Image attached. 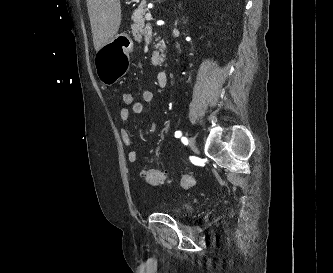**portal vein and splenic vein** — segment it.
Returning <instances> with one entry per match:
<instances>
[{
	"mask_svg": "<svg viewBox=\"0 0 333 273\" xmlns=\"http://www.w3.org/2000/svg\"><path fill=\"white\" fill-rule=\"evenodd\" d=\"M146 20L149 21L151 20L152 16L150 13H147L146 16H145Z\"/></svg>",
	"mask_w": 333,
	"mask_h": 273,
	"instance_id": "1",
	"label": "portal vein and splenic vein"
}]
</instances>
